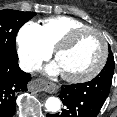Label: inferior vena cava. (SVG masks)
Returning a JSON list of instances; mask_svg holds the SVG:
<instances>
[{"instance_id":"602c4592","label":"inferior vena cava","mask_w":117,"mask_h":117,"mask_svg":"<svg viewBox=\"0 0 117 117\" xmlns=\"http://www.w3.org/2000/svg\"><path fill=\"white\" fill-rule=\"evenodd\" d=\"M20 68L25 72H33L38 70L41 64L35 60H21L19 62Z\"/></svg>"}]
</instances>
